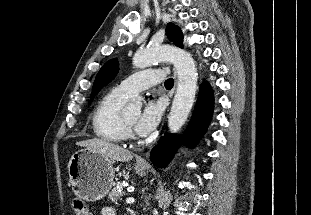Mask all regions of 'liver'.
<instances>
[{"label": "liver", "mask_w": 311, "mask_h": 215, "mask_svg": "<svg viewBox=\"0 0 311 215\" xmlns=\"http://www.w3.org/2000/svg\"><path fill=\"white\" fill-rule=\"evenodd\" d=\"M76 145L85 147L87 150L98 153L109 160L128 162L133 158V155L129 150L102 139L93 138L79 141Z\"/></svg>", "instance_id": "1"}]
</instances>
